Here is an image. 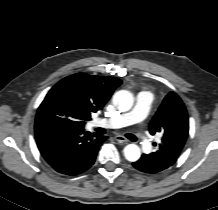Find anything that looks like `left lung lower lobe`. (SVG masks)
I'll return each instance as SVG.
<instances>
[{
    "instance_id": "0a47b994",
    "label": "left lung lower lobe",
    "mask_w": 218,
    "mask_h": 210,
    "mask_svg": "<svg viewBox=\"0 0 218 210\" xmlns=\"http://www.w3.org/2000/svg\"><path fill=\"white\" fill-rule=\"evenodd\" d=\"M176 160L170 156H161L160 153L143 154L141 158L132 165L146 173H157L170 167Z\"/></svg>"
}]
</instances>
